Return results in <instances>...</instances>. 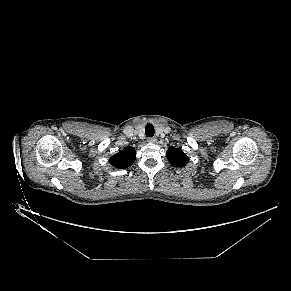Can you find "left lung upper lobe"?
I'll return each mask as SVG.
<instances>
[{
	"instance_id": "5c2ea615",
	"label": "left lung upper lobe",
	"mask_w": 291,
	"mask_h": 291,
	"mask_svg": "<svg viewBox=\"0 0 291 291\" xmlns=\"http://www.w3.org/2000/svg\"><path fill=\"white\" fill-rule=\"evenodd\" d=\"M167 159L174 167H184L188 161V156L179 148L170 147L167 151Z\"/></svg>"
}]
</instances>
